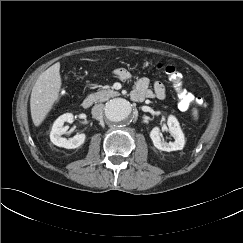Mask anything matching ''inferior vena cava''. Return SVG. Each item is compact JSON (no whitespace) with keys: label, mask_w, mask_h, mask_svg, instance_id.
Here are the masks:
<instances>
[{"label":"inferior vena cava","mask_w":243,"mask_h":243,"mask_svg":"<svg viewBox=\"0 0 243 243\" xmlns=\"http://www.w3.org/2000/svg\"><path fill=\"white\" fill-rule=\"evenodd\" d=\"M103 109H104L103 104H96L95 106H93V108H92L93 117L96 119L101 118L102 114H103Z\"/></svg>","instance_id":"602c4592"}]
</instances>
